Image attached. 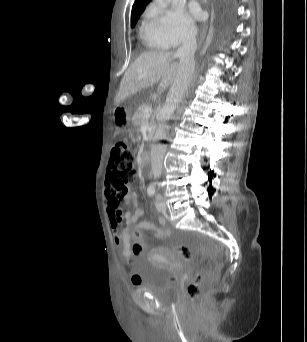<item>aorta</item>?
Returning a JSON list of instances; mask_svg holds the SVG:
<instances>
[{"mask_svg": "<svg viewBox=\"0 0 307 342\" xmlns=\"http://www.w3.org/2000/svg\"><path fill=\"white\" fill-rule=\"evenodd\" d=\"M166 2H168V4H170V2H176V0H166Z\"/></svg>", "mask_w": 307, "mask_h": 342, "instance_id": "obj_1", "label": "aorta"}]
</instances>
